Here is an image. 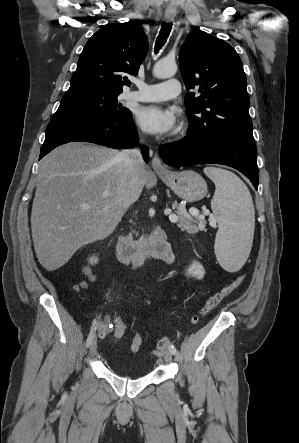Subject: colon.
I'll return each mask as SVG.
<instances>
[{
	"mask_svg": "<svg viewBox=\"0 0 299 443\" xmlns=\"http://www.w3.org/2000/svg\"><path fill=\"white\" fill-rule=\"evenodd\" d=\"M85 273L88 275L89 271L86 269ZM243 280V276H238L234 279L229 285L224 287L221 291L214 294L209 300L206 302L205 306L200 311L198 316H195L192 319V323L195 324L199 321V319L205 316L207 313L216 308L225 298L230 296L241 284ZM128 329L127 321L123 317H117L111 322V328L109 334L115 339H121L125 336ZM172 339L170 337H164L160 339L155 347L154 353L156 355L160 354L164 350H166L171 345ZM143 344V338L141 334L136 333L131 339L130 350L133 353L139 352Z\"/></svg>",
	"mask_w": 299,
	"mask_h": 443,
	"instance_id": "1",
	"label": "colon"
}]
</instances>
